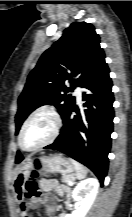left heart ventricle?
<instances>
[{
  "mask_svg": "<svg viewBox=\"0 0 132 217\" xmlns=\"http://www.w3.org/2000/svg\"><path fill=\"white\" fill-rule=\"evenodd\" d=\"M54 120L48 113L35 116L25 128L22 142L26 148H33L45 142L52 134Z\"/></svg>",
  "mask_w": 132,
  "mask_h": 217,
  "instance_id": "obj_1",
  "label": "left heart ventricle"
}]
</instances>
